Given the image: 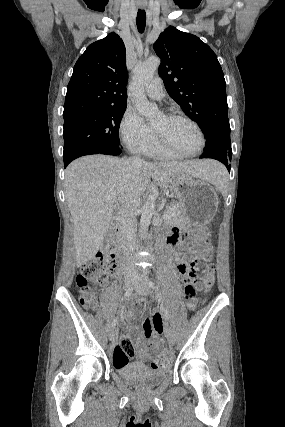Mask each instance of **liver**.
I'll return each instance as SVG.
<instances>
[{
	"label": "liver",
	"instance_id": "liver-1",
	"mask_svg": "<svg viewBox=\"0 0 285 427\" xmlns=\"http://www.w3.org/2000/svg\"><path fill=\"white\" fill-rule=\"evenodd\" d=\"M218 166L211 160L137 164L108 155H89L71 162L65 170V198L73 220L77 266L99 251L115 204L129 202L136 208L151 177L166 192L175 178L185 175L211 183Z\"/></svg>",
	"mask_w": 285,
	"mask_h": 427
}]
</instances>
